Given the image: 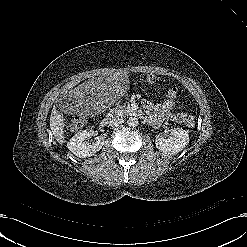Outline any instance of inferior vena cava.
<instances>
[{"instance_id":"obj_1","label":"inferior vena cava","mask_w":247,"mask_h":247,"mask_svg":"<svg viewBox=\"0 0 247 247\" xmlns=\"http://www.w3.org/2000/svg\"><path fill=\"white\" fill-rule=\"evenodd\" d=\"M124 122V120L118 116L115 115H109V126L114 127V126H118L120 124H122Z\"/></svg>"}]
</instances>
